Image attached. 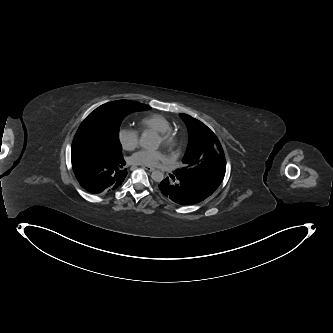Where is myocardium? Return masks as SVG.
I'll list each match as a JSON object with an SVG mask.
<instances>
[{
    "mask_svg": "<svg viewBox=\"0 0 333 333\" xmlns=\"http://www.w3.org/2000/svg\"><path fill=\"white\" fill-rule=\"evenodd\" d=\"M163 141V145L167 150H171L176 144V136L172 130L158 131L157 132Z\"/></svg>",
    "mask_w": 333,
    "mask_h": 333,
    "instance_id": "f54148a6",
    "label": "myocardium"
}]
</instances>
